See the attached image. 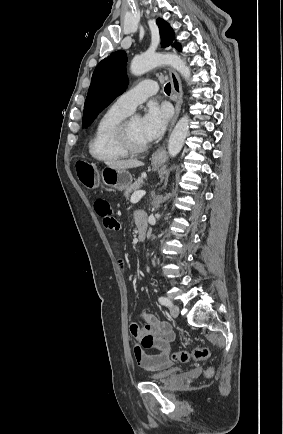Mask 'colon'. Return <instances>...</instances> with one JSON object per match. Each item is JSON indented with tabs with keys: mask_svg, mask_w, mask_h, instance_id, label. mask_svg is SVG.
<instances>
[{
	"mask_svg": "<svg viewBox=\"0 0 283 434\" xmlns=\"http://www.w3.org/2000/svg\"><path fill=\"white\" fill-rule=\"evenodd\" d=\"M77 175L80 182L88 189H94L98 185V174L95 167L91 164L80 162L76 165ZM210 356V350L206 347H197L192 351L181 350L172 354V359L179 362L189 360H206ZM213 370L209 368L207 375H211Z\"/></svg>",
	"mask_w": 283,
	"mask_h": 434,
	"instance_id": "obj_1",
	"label": "colon"
}]
</instances>
